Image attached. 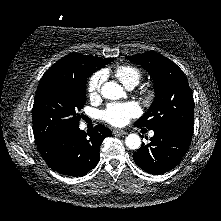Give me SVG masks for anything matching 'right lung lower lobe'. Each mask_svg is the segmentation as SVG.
Wrapping results in <instances>:
<instances>
[{"instance_id": "obj_1", "label": "right lung lower lobe", "mask_w": 221, "mask_h": 221, "mask_svg": "<svg viewBox=\"0 0 221 221\" xmlns=\"http://www.w3.org/2000/svg\"><path fill=\"white\" fill-rule=\"evenodd\" d=\"M111 134L110 129L100 124L87 133L76 125L36 145L47 165L53 170L60 174L81 177L97 165L100 144Z\"/></svg>"}]
</instances>
